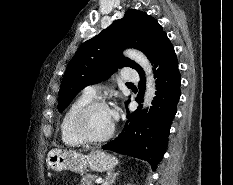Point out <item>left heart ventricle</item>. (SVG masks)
I'll use <instances>...</instances> for the list:
<instances>
[{
  "mask_svg": "<svg viewBox=\"0 0 233 185\" xmlns=\"http://www.w3.org/2000/svg\"><path fill=\"white\" fill-rule=\"evenodd\" d=\"M85 125L89 135L102 137L111 130L113 120L108 109L96 108L87 116Z\"/></svg>",
  "mask_w": 233,
  "mask_h": 185,
  "instance_id": "obj_1",
  "label": "left heart ventricle"
}]
</instances>
